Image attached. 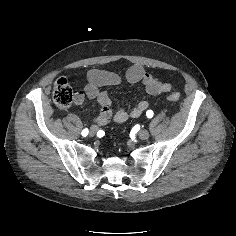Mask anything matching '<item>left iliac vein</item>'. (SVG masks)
I'll list each match as a JSON object with an SVG mask.
<instances>
[{
  "label": "left iliac vein",
  "mask_w": 236,
  "mask_h": 236,
  "mask_svg": "<svg viewBox=\"0 0 236 236\" xmlns=\"http://www.w3.org/2000/svg\"><path fill=\"white\" fill-rule=\"evenodd\" d=\"M150 136L149 132L145 129H141L139 132H138V137L142 140H146L148 139Z\"/></svg>",
  "instance_id": "1"
}]
</instances>
